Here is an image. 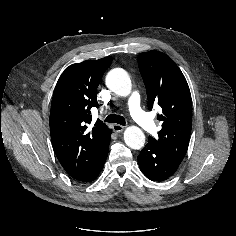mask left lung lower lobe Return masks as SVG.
Here are the masks:
<instances>
[{
	"label": "left lung lower lobe",
	"instance_id": "1",
	"mask_svg": "<svg viewBox=\"0 0 236 236\" xmlns=\"http://www.w3.org/2000/svg\"><path fill=\"white\" fill-rule=\"evenodd\" d=\"M138 163L142 173L152 181H163L171 177L178 169L181 161L173 158L149 142L141 150Z\"/></svg>",
	"mask_w": 236,
	"mask_h": 236
}]
</instances>
